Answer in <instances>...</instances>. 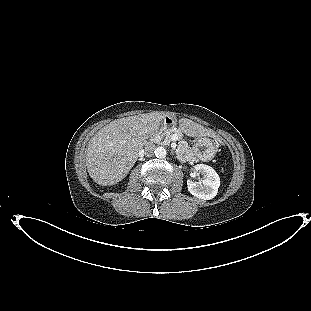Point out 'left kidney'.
<instances>
[{"label":"left kidney","instance_id":"5707ae66","mask_svg":"<svg viewBox=\"0 0 311 311\" xmlns=\"http://www.w3.org/2000/svg\"><path fill=\"white\" fill-rule=\"evenodd\" d=\"M194 170L203 176L202 183L187 181L188 191L195 197L210 200L213 199L220 186V177L216 171L204 164H198L194 167Z\"/></svg>","mask_w":311,"mask_h":311}]
</instances>
